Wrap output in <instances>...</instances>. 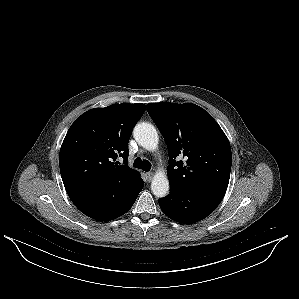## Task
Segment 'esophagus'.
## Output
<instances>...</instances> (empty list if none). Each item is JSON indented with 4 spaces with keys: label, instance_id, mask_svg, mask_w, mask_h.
<instances>
[{
    "label": "esophagus",
    "instance_id": "esophagus-1",
    "mask_svg": "<svg viewBox=\"0 0 299 299\" xmlns=\"http://www.w3.org/2000/svg\"><path fill=\"white\" fill-rule=\"evenodd\" d=\"M146 178H147L148 181H151L152 178H153V173L152 172H147L146 173Z\"/></svg>",
    "mask_w": 299,
    "mask_h": 299
}]
</instances>
